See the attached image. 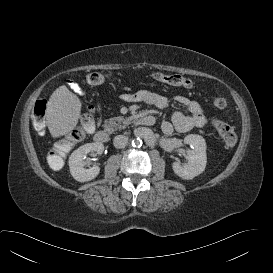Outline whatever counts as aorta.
I'll use <instances>...</instances> for the list:
<instances>
[{
  "label": "aorta",
  "instance_id": "obj_1",
  "mask_svg": "<svg viewBox=\"0 0 273 273\" xmlns=\"http://www.w3.org/2000/svg\"><path fill=\"white\" fill-rule=\"evenodd\" d=\"M142 145V140L140 138H136L132 141V146L140 147Z\"/></svg>",
  "mask_w": 273,
  "mask_h": 273
}]
</instances>
